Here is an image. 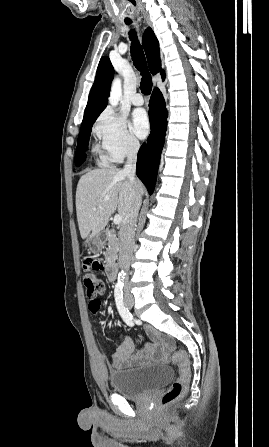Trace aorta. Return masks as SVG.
Here are the masks:
<instances>
[{"instance_id": "1", "label": "aorta", "mask_w": 269, "mask_h": 447, "mask_svg": "<svg viewBox=\"0 0 269 447\" xmlns=\"http://www.w3.org/2000/svg\"><path fill=\"white\" fill-rule=\"evenodd\" d=\"M122 96V84L120 78H115L112 82V88L110 92L109 104L110 106H118L119 100ZM121 277H118L119 283L124 279V271L120 273Z\"/></svg>"}]
</instances>
